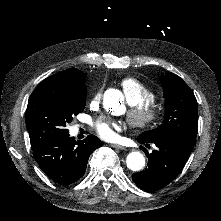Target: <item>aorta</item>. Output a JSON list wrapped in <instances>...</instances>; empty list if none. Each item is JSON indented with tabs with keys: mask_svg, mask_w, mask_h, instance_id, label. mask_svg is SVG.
I'll return each instance as SVG.
<instances>
[{
	"mask_svg": "<svg viewBox=\"0 0 221 221\" xmlns=\"http://www.w3.org/2000/svg\"><path fill=\"white\" fill-rule=\"evenodd\" d=\"M127 167L132 171H140L145 166V157L138 151L131 152L126 158Z\"/></svg>",
	"mask_w": 221,
	"mask_h": 221,
	"instance_id": "762f6f07",
	"label": "aorta"
}]
</instances>
